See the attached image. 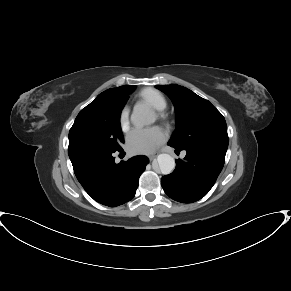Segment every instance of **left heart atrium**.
I'll return each mask as SVG.
<instances>
[{"label":"left heart atrium","mask_w":291,"mask_h":291,"mask_svg":"<svg viewBox=\"0 0 291 291\" xmlns=\"http://www.w3.org/2000/svg\"><path fill=\"white\" fill-rule=\"evenodd\" d=\"M166 140L158 126L133 129L127 136V150L132 154H149Z\"/></svg>","instance_id":"1"}]
</instances>
